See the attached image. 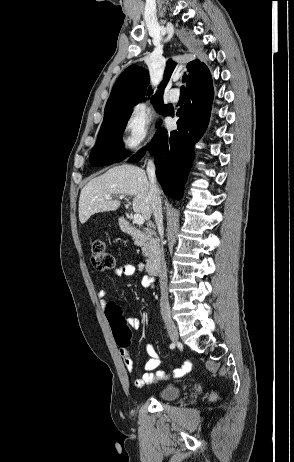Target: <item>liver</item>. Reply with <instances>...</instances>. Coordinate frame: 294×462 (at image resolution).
Returning <instances> with one entry per match:
<instances>
[{
    "mask_svg": "<svg viewBox=\"0 0 294 462\" xmlns=\"http://www.w3.org/2000/svg\"><path fill=\"white\" fill-rule=\"evenodd\" d=\"M105 195L134 196V212L141 214L146 220L150 219V185L143 169L133 165H120L87 183L79 198V220L82 224L95 213L115 211L120 207L119 200L105 199Z\"/></svg>",
    "mask_w": 294,
    "mask_h": 462,
    "instance_id": "obj_1",
    "label": "liver"
}]
</instances>
